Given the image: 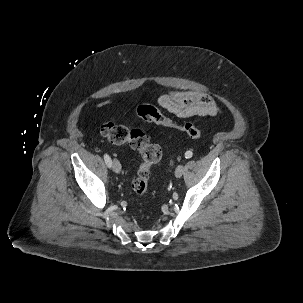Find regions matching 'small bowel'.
<instances>
[{
	"instance_id": "obj_1",
	"label": "small bowel",
	"mask_w": 303,
	"mask_h": 303,
	"mask_svg": "<svg viewBox=\"0 0 303 303\" xmlns=\"http://www.w3.org/2000/svg\"><path fill=\"white\" fill-rule=\"evenodd\" d=\"M103 101L99 106L108 104ZM159 104L180 118L215 116L220 108L213 98L205 93L193 90H173L159 97Z\"/></svg>"
}]
</instances>
